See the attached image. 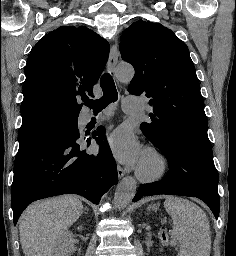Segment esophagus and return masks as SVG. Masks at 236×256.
Wrapping results in <instances>:
<instances>
[{"instance_id": "esophagus-1", "label": "esophagus", "mask_w": 236, "mask_h": 256, "mask_svg": "<svg viewBox=\"0 0 236 256\" xmlns=\"http://www.w3.org/2000/svg\"><path fill=\"white\" fill-rule=\"evenodd\" d=\"M117 62H118V49H117V43H114L113 46L111 47L109 60H108V70L110 72L114 73ZM117 173L119 178H122L125 175V172L120 165L117 166Z\"/></svg>"}]
</instances>
